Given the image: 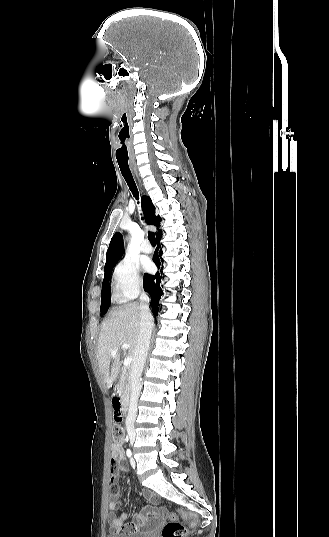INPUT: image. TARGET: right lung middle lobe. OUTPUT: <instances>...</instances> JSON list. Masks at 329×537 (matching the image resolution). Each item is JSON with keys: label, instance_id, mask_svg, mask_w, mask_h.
Masks as SVG:
<instances>
[{"label": "right lung middle lobe", "instance_id": "1", "mask_svg": "<svg viewBox=\"0 0 329 537\" xmlns=\"http://www.w3.org/2000/svg\"><path fill=\"white\" fill-rule=\"evenodd\" d=\"M115 264H112L108 268L104 269L105 273L102 283L101 315H104L110 306V276Z\"/></svg>", "mask_w": 329, "mask_h": 537}]
</instances>
